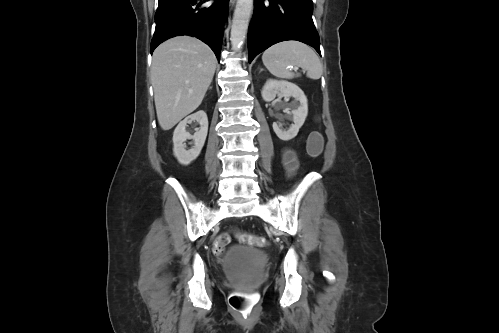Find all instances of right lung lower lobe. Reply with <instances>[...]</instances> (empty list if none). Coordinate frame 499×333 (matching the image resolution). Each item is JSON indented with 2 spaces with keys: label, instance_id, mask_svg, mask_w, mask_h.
<instances>
[{
  "label": "right lung lower lobe",
  "instance_id": "1",
  "mask_svg": "<svg viewBox=\"0 0 499 333\" xmlns=\"http://www.w3.org/2000/svg\"><path fill=\"white\" fill-rule=\"evenodd\" d=\"M155 14L156 28L150 51L165 40L189 35L206 44L220 60L223 24L228 11L229 0H217L205 5L209 0H158Z\"/></svg>",
  "mask_w": 499,
  "mask_h": 333
}]
</instances>
